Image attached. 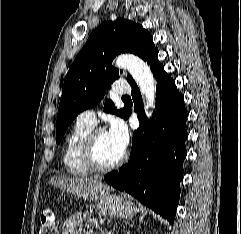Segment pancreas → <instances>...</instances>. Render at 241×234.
I'll return each mask as SVG.
<instances>
[{"instance_id":"cf45deb5","label":"pancreas","mask_w":241,"mask_h":234,"mask_svg":"<svg viewBox=\"0 0 241 234\" xmlns=\"http://www.w3.org/2000/svg\"><path fill=\"white\" fill-rule=\"evenodd\" d=\"M86 234H94L92 231H88Z\"/></svg>"}]
</instances>
